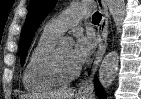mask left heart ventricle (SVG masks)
Here are the masks:
<instances>
[{
    "label": "left heart ventricle",
    "mask_w": 141,
    "mask_h": 99,
    "mask_svg": "<svg viewBox=\"0 0 141 99\" xmlns=\"http://www.w3.org/2000/svg\"><path fill=\"white\" fill-rule=\"evenodd\" d=\"M58 56L60 65L65 72H72L77 69L72 62L70 46H59Z\"/></svg>",
    "instance_id": "b2bd125f"
}]
</instances>
